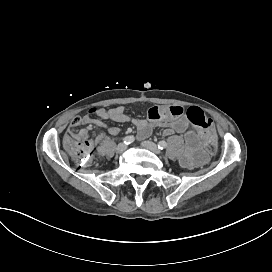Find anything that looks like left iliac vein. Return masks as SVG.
Returning a JSON list of instances; mask_svg holds the SVG:
<instances>
[{
  "label": "left iliac vein",
  "mask_w": 272,
  "mask_h": 272,
  "mask_svg": "<svg viewBox=\"0 0 272 272\" xmlns=\"http://www.w3.org/2000/svg\"><path fill=\"white\" fill-rule=\"evenodd\" d=\"M143 147L154 152L155 154H159L160 153V150L158 148V146L153 143L152 141H144L142 143Z\"/></svg>",
  "instance_id": "4c4485c4"
}]
</instances>
